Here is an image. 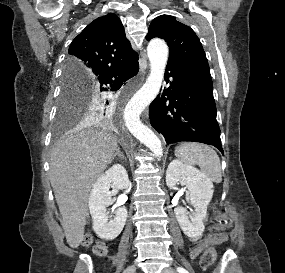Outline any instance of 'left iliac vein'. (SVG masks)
Wrapping results in <instances>:
<instances>
[{
    "label": "left iliac vein",
    "mask_w": 285,
    "mask_h": 273,
    "mask_svg": "<svg viewBox=\"0 0 285 273\" xmlns=\"http://www.w3.org/2000/svg\"><path fill=\"white\" fill-rule=\"evenodd\" d=\"M162 273H176V271L171 267H167L162 270Z\"/></svg>",
    "instance_id": "left-iliac-vein-1"
}]
</instances>
